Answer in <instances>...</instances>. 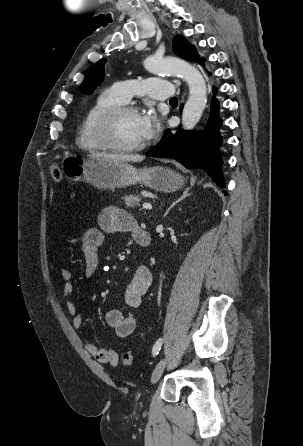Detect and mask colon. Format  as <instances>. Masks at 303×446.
Instances as JSON below:
<instances>
[{
	"label": "colon",
	"mask_w": 303,
	"mask_h": 446,
	"mask_svg": "<svg viewBox=\"0 0 303 446\" xmlns=\"http://www.w3.org/2000/svg\"><path fill=\"white\" fill-rule=\"evenodd\" d=\"M51 175L56 182H62L64 180V173L56 166L51 167ZM134 354L132 351H126L122 354L121 362L125 366H130L133 363Z\"/></svg>",
	"instance_id": "colon-1"
}]
</instances>
